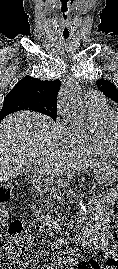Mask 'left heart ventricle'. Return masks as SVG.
Instances as JSON below:
<instances>
[{
  "label": "left heart ventricle",
  "mask_w": 118,
  "mask_h": 269,
  "mask_svg": "<svg viewBox=\"0 0 118 269\" xmlns=\"http://www.w3.org/2000/svg\"><path fill=\"white\" fill-rule=\"evenodd\" d=\"M115 139H116V143L118 142V126L116 127V130H115Z\"/></svg>",
  "instance_id": "1"
}]
</instances>
